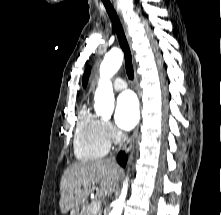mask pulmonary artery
<instances>
[{
    "label": "pulmonary artery",
    "instance_id": "e3ab8cb5",
    "mask_svg": "<svg viewBox=\"0 0 221 215\" xmlns=\"http://www.w3.org/2000/svg\"><path fill=\"white\" fill-rule=\"evenodd\" d=\"M113 88L116 90V91H122L124 89L127 88V83L124 79L122 78H116L113 82Z\"/></svg>",
    "mask_w": 221,
    "mask_h": 215
}]
</instances>
